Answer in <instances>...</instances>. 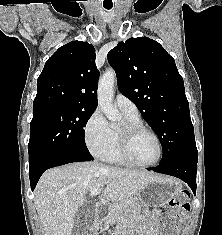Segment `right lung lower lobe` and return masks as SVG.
<instances>
[{"mask_svg":"<svg viewBox=\"0 0 222 235\" xmlns=\"http://www.w3.org/2000/svg\"><path fill=\"white\" fill-rule=\"evenodd\" d=\"M94 160L92 156H77V155H58L47 158L41 161L34 167L29 168V178L31 183V189L34 190L35 186L43 174V172L49 168L64 165L67 163L78 162V161H91Z\"/></svg>","mask_w":222,"mask_h":235,"instance_id":"obj_1","label":"right lung lower lobe"}]
</instances>
